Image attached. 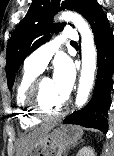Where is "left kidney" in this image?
Listing matches in <instances>:
<instances>
[{"label": "left kidney", "mask_w": 114, "mask_h": 156, "mask_svg": "<svg viewBox=\"0 0 114 156\" xmlns=\"http://www.w3.org/2000/svg\"><path fill=\"white\" fill-rule=\"evenodd\" d=\"M76 156H96L94 150L91 147H83L81 148Z\"/></svg>", "instance_id": "obj_1"}]
</instances>
